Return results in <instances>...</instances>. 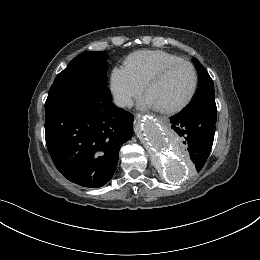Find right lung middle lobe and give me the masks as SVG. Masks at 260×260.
Returning a JSON list of instances; mask_svg holds the SVG:
<instances>
[{
    "label": "right lung middle lobe",
    "instance_id": "obj_1",
    "mask_svg": "<svg viewBox=\"0 0 260 260\" xmlns=\"http://www.w3.org/2000/svg\"><path fill=\"white\" fill-rule=\"evenodd\" d=\"M108 55L102 51H85L77 55L55 78L46 103L69 97L89 96L107 86Z\"/></svg>",
    "mask_w": 260,
    "mask_h": 260
}]
</instances>
